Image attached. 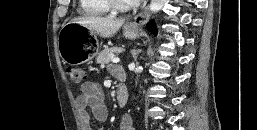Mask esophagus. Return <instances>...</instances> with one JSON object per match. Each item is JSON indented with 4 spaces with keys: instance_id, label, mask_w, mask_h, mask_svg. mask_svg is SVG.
Returning <instances> with one entry per match:
<instances>
[{
    "instance_id": "34e87169",
    "label": "esophagus",
    "mask_w": 257,
    "mask_h": 130,
    "mask_svg": "<svg viewBox=\"0 0 257 130\" xmlns=\"http://www.w3.org/2000/svg\"><path fill=\"white\" fill-rule=\"evenodd\" d=\"M150 16L149 7L147 6L141 13H139L137 16H135L134 21L130 24L132 26H139L147 22L148 18Z\"/></svg>"
}]
</instances>
